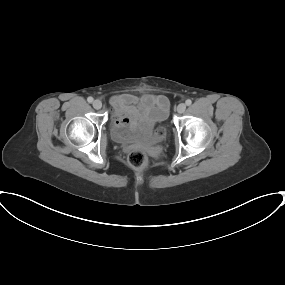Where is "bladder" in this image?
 I'll list each match as a JSON object with an SVG mask.
<instances>
[{"instance_id":"obj_1","label":"bladder","mask_w":285,"mask_h":285,"mask_svg":"<svg viewBox=\"0 0 285 285\" xmlns=\"http://www.w3.org/2000/svg\"><path fill=\"white\" fill-rule=\"evenodd\" d=\"M167 118V112L162 111L159 116L160 122H163ZM112 135L113 138L120 143L124 142H153L162 138L161 135L151 128L136 127L130 128L128 125L123 123L112 124Z\"/></svg>"}]
</instances>
